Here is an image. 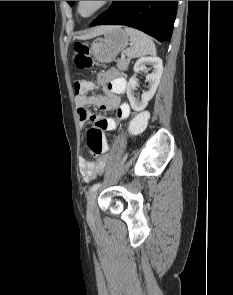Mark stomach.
<instances>
[{
  "instance_id": "obj_1",
  "label": "stomach",
  "mask_w": 233,
  "mask_h": 295,
  "mask_svg": "<svg viewBox=\"0 0 233 295\" xmlns=\"http://www.w3.org/2000/svg\"><path fill=\"white\" fill-rule=\"evenodd\" d=\"M104 38H98L92 43L91 51L99 63H110L128 45V34L118 26H112L104 33Z\"/></svg>"
}]
</instances>
